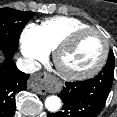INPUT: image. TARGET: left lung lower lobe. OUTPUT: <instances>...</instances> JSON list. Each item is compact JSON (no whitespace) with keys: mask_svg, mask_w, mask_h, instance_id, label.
<instances>
[{"mask_svg":"<svg viewBox=\"0 0 117 117\" xmlns=\"http://www.w3.org/2000/svg\"><path fill=\"white\" fill-rule=\"evenodd\" d=\"M113 76L108 67L92 79L67 82L59 94L64 105L48 117H97L105 106Z\"/></svg>","mask_w":117,"mask_h":117,"instance_id":"1","label":"left lung lower lobe"}]
</instances>
